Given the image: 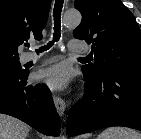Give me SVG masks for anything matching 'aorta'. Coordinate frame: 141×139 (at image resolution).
Instances as JSON below:
<instances>
[{
    "label": "aorta",
    "instance_id": "obj_1",
    "mask_svg": "<svg viewBox=\"0 0 141 139\" xmlns=\"http://www.w3.org/2000/svg\"><path fill=\"white\" fill-rule=\"evenodd\" d=\"M81 19H82V16H81L80 12L70 10V11L65 12V14L63 16V23L67 27H75L80 24ZM63 139H64V137H63Z\"/></svg>",
    "mask_w": 141,
    "mask_h": 139
}]
</instances>
